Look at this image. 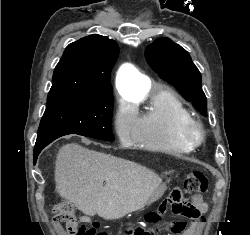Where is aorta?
Instances as JSON below:
<instances>
[{
	"label": "aorta",
	"mask_w": 250,
	"mask_h": 235,
	"mask_svg": "<svg viewBox=\"0 0 250 235\" xmlns=\"http://www.w3.org/2000/svg\"><path fill=\"white\" fill-rule=\"evenodd\" d=\"M148 80L140 75L132 66L123 68L119 79V91L122 96L131 101H140L149 89Z\"/></svg>",
	"instance_id": "obj_1"
}]
</instances>
